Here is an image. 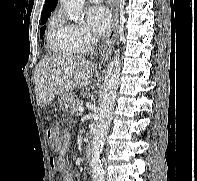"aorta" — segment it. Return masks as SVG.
Returning <instances> with one entry per match:
<instances>
[{
	"instance_id": "762f6f07",
	"label": "aorta",
	"mask_w": 197,
	"mask_h": 181,
	"mask_svg": "<svg viewBox=\"0 0 197 181\" xmlns=\"http://www.w3.org/2000/svg\"><path fill=\"white\" fill-rule=\"evenodd\" d=\"M64 12L71 19L78 21L83 12L85 0H60ZM121 60L115 55L107 68L102 93L100 95V113L97 129L92 141V156L90 167L93 181H104V169L101 164V153L110 122L112 120L116 92L119 82Z\"/></svg>"
}]
</instances>
